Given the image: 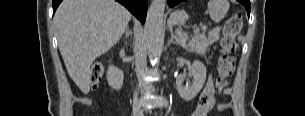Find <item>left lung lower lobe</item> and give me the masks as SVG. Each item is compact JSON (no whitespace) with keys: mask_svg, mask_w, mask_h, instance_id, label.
I'll return each mask as SVG.
<instances>
[{"mask_svg":"<svg viewBox=\"0 0 305 116\" xmlns=\"http://www.w3.org/2000/svg\"><path fill=\"white\" fill-rule=\"evenodd\" d=\"M184 0H169V7H174L175 5H177L178 3L182 2ZM239 2H241L246 10H247V13L249 14L250 13V1L249 0H240Z\"/></svg>","mask_w":305,"mask_h":116,"instance_id":"0a47b994","label":"left lung lower lobe"}]
</instances>
